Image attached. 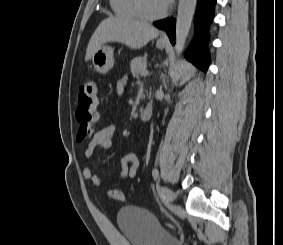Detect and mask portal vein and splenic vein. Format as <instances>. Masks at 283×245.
I'll list each match as a JSON object with an SVG mask.
<instances>
[{"instance_id": "1", "label": "portal vein and splenic vein", "mask_w": 283, "mask_h": 245, "mask_svg": "<svg viewBox=\"0 0 283 245\" xmlns=\"http://www.w3.org/2000/svg\"><path fill=\"white\" fill-rule=\"evenodd\" d=\"M148 74H149V71L144 70V71L141 73V76H147Z\"/></svg>"}]
</instances>
